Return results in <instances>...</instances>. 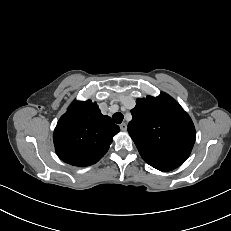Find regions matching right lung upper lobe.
I'll return each instance as SVG.
<instances>
[{
    "label": "right lung upper lobe",
    "instance_id": "right-lung-upper-lobe-1",
    "mask_svg": "<svg viewBox=\"0 0 231 231\" xmlns=\"http://www.w3.org/2000/svg\"><path fill=\"white\" fill-rule=\"evenodd\" d=\"M119 130L109 116L101 113L96 103L74 101L54 130L56 153L70 165H92L105 155Z\"/></svg>",
    "mask_w": 231,
    "mask_h": 231
}]
</instances>
